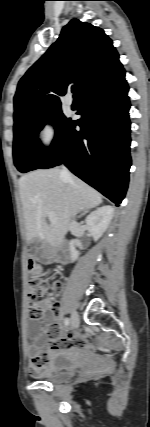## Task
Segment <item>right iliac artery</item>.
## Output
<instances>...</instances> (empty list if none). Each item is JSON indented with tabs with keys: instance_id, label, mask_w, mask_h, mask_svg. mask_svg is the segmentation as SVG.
I'll use <instances>...</instances> for the list:
<instances>
[{
	"instance_id": "right-iliac-artery-1",
	"label": "right iliac artery",
	"mask_w": 150,
	"mask_h": 427,
	"mask_svg": "<svg viewBox=\"0 0 150 427\" xmlns=\"http://www.w3.org/2000/svg\"><path fill=\"white\" fill-rule=\"evenodd\" d=\"M64 324H65L66 326H68V325L70 324V319H69V318H65V319H64Z\"/></svg>"
}]
</instances>
